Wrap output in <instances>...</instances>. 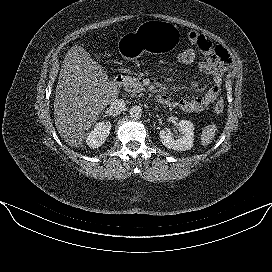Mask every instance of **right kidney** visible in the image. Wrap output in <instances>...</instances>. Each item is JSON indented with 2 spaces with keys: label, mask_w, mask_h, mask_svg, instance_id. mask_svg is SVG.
<instances>
[{
  "label": "right kidney",
  "mask_w": 272,
  "mask_h": 272,
  "mask_svg": "<svg viewBox=\"0 0 272 272\" xmlns=\"http://www.w3.org/2000/svg\"><path fill=\"white\" fill-rule=\"evenodd\" d=\"M111 130V123L109 121H102L95 125L94 129L88 133L86 142L91 148L100 147L107 137L109 136Z\"/></svg>",
  "instance_id": "ca27d5eb"
}]
</instances>
